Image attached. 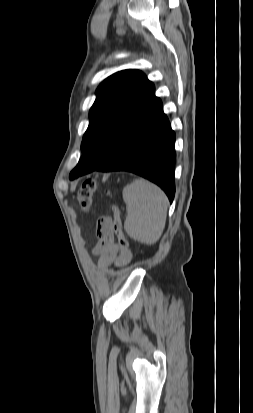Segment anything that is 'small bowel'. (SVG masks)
I'll list each match as a JSON object with an SVG mask.
<instances>
[{
    "label": "small bowel",
    "mask_w": 253,
    "mask_h": 413,
    "mask_svg": "<svg viewBox=\"0 0 253 413\" xmlns=\"http://www.w3.org/2000/svg\"><path fill=\"white\" fill-rule=\"evenodd\" d=\"M97 243L94 247V253L98 255V265L105 268L113 264L117 266L127 265L132 253L129 249H121L114 241L112 222L109 217H102L98 220L96 226Z\"/></svg>",
    "instance_id": "small-bowel-1"
}]
</instances>
